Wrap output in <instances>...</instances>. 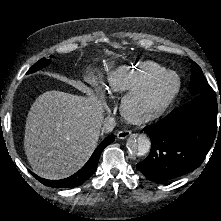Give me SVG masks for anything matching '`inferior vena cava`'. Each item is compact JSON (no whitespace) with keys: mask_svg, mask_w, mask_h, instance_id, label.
<instances>
[{"mask_svg":"<svg viewBox=\"0 0 221 221\" xmlns=\"http://www.w3.org/2000/svg\"><path fill=\"white\" fill-rule=\"evenodd\" d=\"M116 125L115 119L112 117H106L103 121L102 132L109 133L111 132Z\"/></svg>","mask_w":221,"mask_h":221,"instance_id":"inferior-vena-cava-1","label":"inferior vena cava"}]
</instances>
